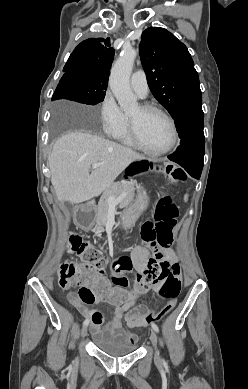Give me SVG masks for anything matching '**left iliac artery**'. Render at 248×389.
<instances>
[{
  "label": "left iliac artery",
  "mask_w": 248,
  "mask_h": 389,
  "mask_svg": "<svg viewBox=\"0 0 248 389\" xmlns=\"http://www.w3.org/2000/svg\"><path fill=\"white\" fill-rule=\"evenodd\" d=\"M151 326L156 332H159V328L155 323H152Z\"/></svg>",
  "instance_id": "1"
}]
</instances>
